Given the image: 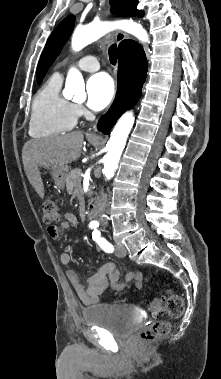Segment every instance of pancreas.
<instances>
[{"label": "pancreas", "instance_id": "pancreas-1", "mask_svg": "<svg viewBox=\"0 0 221 379\" xmlns=\"http://www.w3.org/2000/svg\"><path fill=\"white\" fill-rule=\"evenodd\" d=\"M81 169L76 168L69 172L66 178V188L67 191L82 193L81 190ZM88 195H91V191H89Z\"/></svg>", "mask_w": 221, "mask_h": 379}]
</instances>
